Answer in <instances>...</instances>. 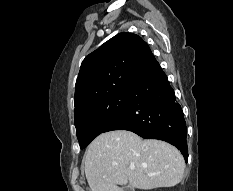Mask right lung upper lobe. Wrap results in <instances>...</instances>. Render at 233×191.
Here are the masks:
<instances>
[{
	"label": "right lung upper lobe",
	"mask_w": 233,
	"mask_h": 191,
	"mask_svg": "<svg viewBox=\"0 0 233 191\" xmlns=\"http://www.w3.org/2000/svg\"><path fill=\"white\" fill-rule=\"evenodd\" d=\"M153 54L138 35L122 32L85 57L76 81L74 114L128 93Z\"/></svg>",
	"instance_id": "obj_1"
}]
</instances>
